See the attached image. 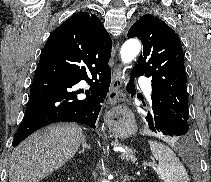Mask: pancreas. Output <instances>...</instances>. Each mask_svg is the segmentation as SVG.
I'll return each instance as SVG.
<instances>
[{
  "instance_id": "pancreas-1",
  "label": "pancreas",
  "mask_w": 211,
  "mask_h": 182,
  "mask_svg": "<svg viewBox=\"0 0 211 182\" xmlns=\"http://www.w3.org/2000/svg\"><path fill=\"white\" fill-rule=\"evenodd\" d=\"M120 157L122 159H126V160H130L132 162H134L136 160L135 156L132 155V150L126 148V153H121Z\"/></svg>"
}]
</instances>
